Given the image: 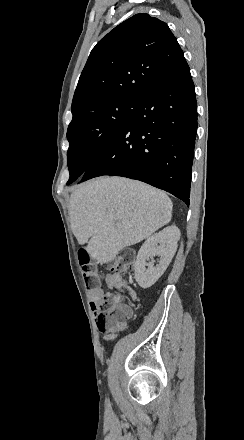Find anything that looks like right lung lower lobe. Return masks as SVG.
Here are the masks:
<instances>
[{
	"instance_id": "right-lung-lower-lobe-1",
	"label": "right lung lower lobe",
	"mask_w": 244,
	"mask_h": 440,
	"mask_svg": "<svg viewBox=\"0 0 244 440\" xmlns=\"http://www.w3.org/2000/svg\"><path fill=\"white\" fill-rule=\"evenodd\" d=\"M196 129L195 89L185 61L144 93L131 118L80 182L102 175L123 176L168 191L189 205Z\"/></svg>"
}]
</instances>
